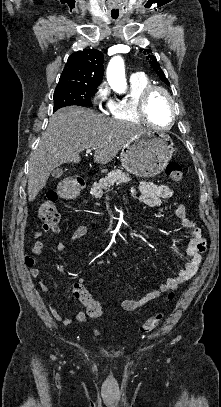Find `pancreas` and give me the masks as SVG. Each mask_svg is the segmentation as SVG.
I'll use <instances>...</instances> for the list:
<instances>
[{
	"instance_id": "obj_1",
	"label": "pancreas",
	"mask_w": 221,
	"mask_h": 407,
	"mask_svg": "<svg viewBox=\"0 0 221 407\" xmlns=\"http://www.w3.org/2000/svg\"><path fill=\"white\" fill-rule=\"evenodd\" d=\"M131 181L129 174L123 172L121 169H116L108 173L107 176L95 182L91 188L93 197L100 198L104 191L112 188L115 184L119 185Z\"/></svg>"
}]
</instances>
